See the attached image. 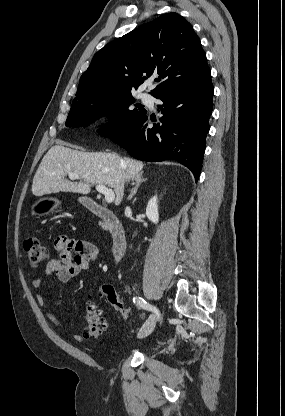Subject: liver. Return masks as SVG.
<instances>
[{
	"instance_id": "1",
	"label": "liver",
	"mask_w": 285,
	"mask_h": 416,
	"mask_svg": "<svg viewBox=\"0 0 285 416\" xmlns=\"http://www.w3.org/2000/svg\"><path fill=\"white\" fill-rule=\"evenodd\" d=\"M70 144L52 146L45 154L32 184L34 196L57 194V192H73V194H90L92 186L113 188L116 198L115 206H119L124 196V184L129 178L141 176L143 162L130 158H120L117 154L105 152H78L64 148ZM67 174H78L83 182L65 180Z\"/></svg>"
}]
</instances>
